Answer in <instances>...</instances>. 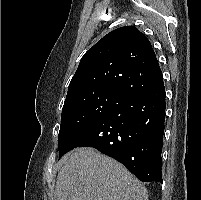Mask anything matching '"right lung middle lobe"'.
<instances>
[{"label": "right lung middle lobe", "mask_w": 201, "mask_h": 200, "mask_svg": "<svg viewBox=\"0 0 201 200\" xmlns=\"http://www.w3.org/2000/svg\"><path fill=\"white\" fill-rule=\"evenodd\" d=\"M128 96L115 91H86L66 98L58 135L60 158L65 147L83 129L121 105Z\"/></svg>", "instance_id": "right-lung-middle-lobe-1"}]
</instances>
